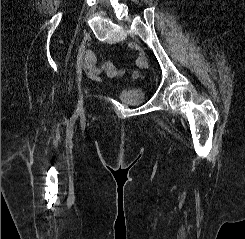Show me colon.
<instances>
[{
	"label": "colon",
	"instance_id": "obj_1",
	"mask_svg": "<svg viewBox=\"0 0 245 239\" xmlns=\"http://www.w3.org/2000/svg\"><path fill=\"white\" fill-rule=\"evenodd\" d=\"M104 67H105V70H106V73L111 76V77H116L119 75V71L117 69V67L109 62V61H106L105 64H104Z\"/></svg>",
	"mask_w": 245,
	"mask_h": 239
}]
</instances>
